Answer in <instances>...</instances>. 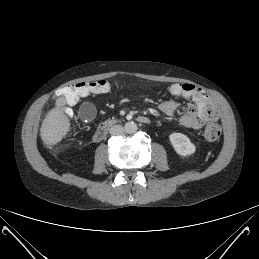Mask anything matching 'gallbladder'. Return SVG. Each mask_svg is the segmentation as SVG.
<instances>
[{
  "label": "gallbladder",
  "mask_w": 259,
  "mask_h": 259,
  "mask_svg": "<svg viewBox=\"0 0 259 259\" xmlns=\"http://www.w3.org/2000/svg\"><path fill=\"white\" fill-rule=\"evenodd\" d=\"M79 115L86 122L93 121L96 117L94 104L90 101L83 102L80 106Z\"/></svg>",
  "instance_id": "gallbladder-1"
}]
</instances>
